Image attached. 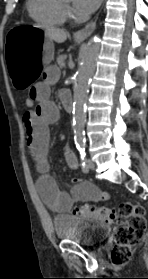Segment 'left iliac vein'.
Here are the masks:
<instances>
[{"instance_id":"1","label":"left iliac vein","mask_w":148,"mask_h":279,"mask_svg":"<svg viewBox=\"0 0 148 279\" xmlns=\"http://www.w3.org/2000/svg\"><path fill=\"white\" fill-rule=\"evenodd\" d=\"M87 163H88V166L91 170L95 169V163L92 159H89Z\"/></svg>"}]
</instances>
